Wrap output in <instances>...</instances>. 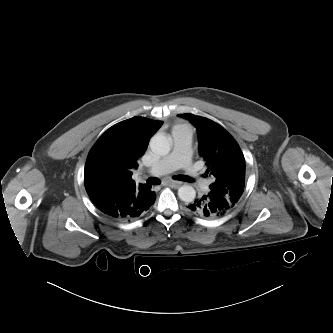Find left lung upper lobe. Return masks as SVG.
Returning <instances> with one entry per match:
<instances>
[{
	"label": "left lung upper lobe",
	"mask_w": 333,
	"mask_h": 333,
	"mask_svg": "<svg viewBox=\"0 0 333 333\" xmlns=\"http://www.w3.org/2000/svg\"><path fill=\"white\" fill-rule=\"evenodd\" d=\"M198 131L199 154L206 161L205 174L213 178L210 191L225 197L235 207L245 187V159L237 142L219 124L193 114H178Z\"/></svg>",
	"instance_id": "left-lung-upper-lobe-1"
}]
</instances>
